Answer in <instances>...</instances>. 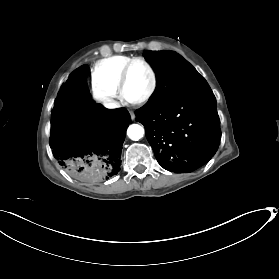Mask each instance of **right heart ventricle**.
Masks as SVG:
<instances>
[{"instance_id": "1", "label": "right heart ventricle", "mask_w": 279, "mask_h": 279, "mask_svg": "<svg viewBox=\"0 0 279 279\" xmlns=\"http://www.w3.org/2000/svg\"><path fill=\"white\" fill-rule=\"evenodd\" d=\"M132 57L116 55L97 61L91 69V82L100 85L113 95H118V79L124 65Z\"/></svg>"}]
</instances>
